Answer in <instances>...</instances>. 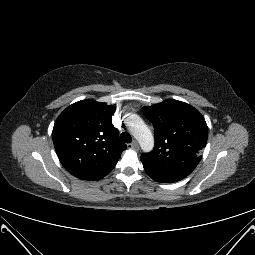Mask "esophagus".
Instances as JSON below:
<instances>
[{
  "instance_id": "obj_1",
  "label": "esophagus",
  "mask_w": 255,
  "mask_h": 255,
  "mask_svg": "<svg viewBox=\"0 0 255 255\" xmlns=\"http://www.w3.org/2000/svg\"><path fill=\"white\" fill-rule=\"evenodd\" d=\"M127 148L137 150L139 148V146H138V143L136 141H133L132 143L127 144Z\"/></svg>"
}]
</instances>
